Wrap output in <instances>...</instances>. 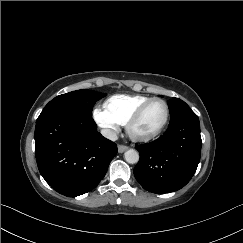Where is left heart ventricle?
Wrapping results in <instances>:
<instances>
[{
	"label": "left heart ventricle",
	"mask_w": 243,
	"mask_h": 243,
	"mask_svg": "<svg viewBox=\"0 0 243 243\" xmlns=\"http://www.w3.org/2000/svg\"><path fill=\"white\" fill-rule=\"evenodd\" d=\"M166 115V108L162 102L151 104L143 113L141 119L133 127L134 133L148 135L155 132L163 123Z\"/></svg>",
	"instance_id": "left-heart-ventricle-1"
}]
</instances>
